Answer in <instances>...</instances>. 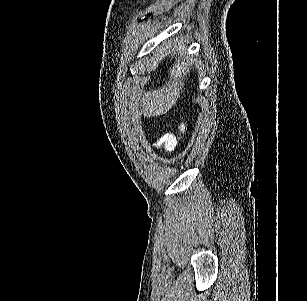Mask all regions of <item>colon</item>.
Masks as SVG:
<instances>
[{"instance_id": "obj_1", "label": "colon", "mask_w": 307, "mask_h": 301, "mask_svg": "<svg viewBox=\"0 0 307 301\" xmlns=\"http://www.w3.org/2000/svg\"><path fill=\"white\" fill-rule=\"evenodd\" d=\"M176 145V138L172 134H167L161 137L157 142V147L165 150L171 151Z\"/></svg>"}]
</instances>
